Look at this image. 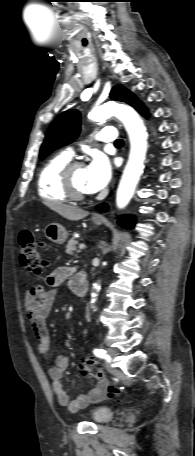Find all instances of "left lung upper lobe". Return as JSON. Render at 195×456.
<instances>
[{
  "label": "left lung upper lobe",
  "instance_id": "5c2ea615",
  "mask_svg": "<svg viewBox=\"0 0 195 456\" xmlns=\"http://www.w3.org/2000/svg\"><path fill=\"white\" fill-rule=\"evenodd\" d=\"M110 98L125 102L135 109L141 102L126 88L116 85ZM80 132V113L77 110H68L60 114L50 125L45 140L40 149L39 157L44 159L52 151L73 142Z\"/></svg>",
  "mask_w": 195,
  "mask_h": 456
}]
</instances>
